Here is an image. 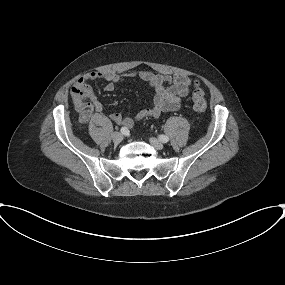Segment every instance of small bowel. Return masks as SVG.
<instances>
[{"mask_svg": "<svg viewBox=\"0 0 285 285\" xmlns=\"http://www.w3.org/2000/svg\"><path fill=\"white\" fill-rule=\"evenodd\" d=\"M127 78H138L146 82L153 91L151 106L140 109L135 117H127L116 112L110 119L126 128H131L136 122L148 117H158L163 112L176 111L182 100L188 96L192 87H198L197 80H191L183 75H162L150 71H132L127 73L91 72L76 80L71 88V97L79 121L86 123L93 113L102 112L103 104L99 101L90 81L103 80L106 82L105 90L113 91L117 84L123 83Z\"/></svg>", "mask_w": 285, "mask_h": 285, "instance_id": "1", "label": "small bowel"}]
</instances>
